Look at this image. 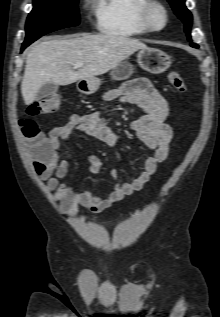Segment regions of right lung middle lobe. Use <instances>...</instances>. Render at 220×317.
I'll list each match as a JSON object with an SVG mask.
<instances>
[{
  "label": "right lung middle lobe",
  "mask_w": 220,
  "mask_h": 317,
  "mask_svg": "<svg viewBox=\"0 0 220 317\" xmlns=\"http://www.w3.org/2000/svg\"><path fill=\"white\" fill-rule=\"evenodd\" d=\"M79 22L78 0H33L24 42H33L44 34L77 26Z\"/></svg>",
  "instance_id": "obj_1"
}]
</instances>
